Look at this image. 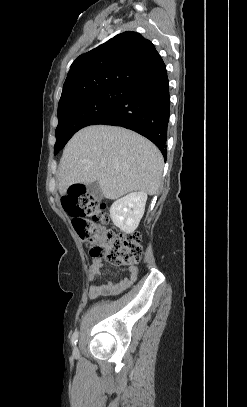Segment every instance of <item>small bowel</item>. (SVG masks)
Wrapping results in <instances>:
<instances>
[{
	"mask_svg": "<svg viewBox=\"0 0 247 407\" xmlns=\"http://www.w3.org/2000/svg\"><path fill=\"white\" fill-rule=\"evenodd\" d=\"M103 264L102 261L98 258L93 259L90 268H89V280L93 281L95 278L100 276V270ZM138 276V268L137 267H130L129 268V276L124 278L119 282L109 281L106 284L101 285H92L90 287L89 294L91 297H98L105 294H118L127 288H129L137 279Z\"/></svg>",
	"mask_w": 247,
	"mask_h": 407,
	"instance_id": "1",
	"label": "small bowel"
}]
</instances>
